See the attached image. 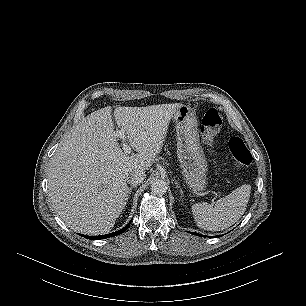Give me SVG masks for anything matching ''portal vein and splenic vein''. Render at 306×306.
<instances>
[{"label":"portal vein and splenic vein","mask_w":306,"mask_h":306,"mask_svg":"<svg viewBox=\"0 0 306 306\" xmlns=\"http://www.w3.org/2000/svg\"><path fill=\"white\" fill-rule=\"evenodd\" d=\"M118 136L122 139L123 142L126 141V136H125V131L124 129H121L117 132ZM123 150L125 154H130L131 153V147L127 144L124 143L123 145Z\"/></svg>","instance_id":"18ae733b"}]
</instances>
